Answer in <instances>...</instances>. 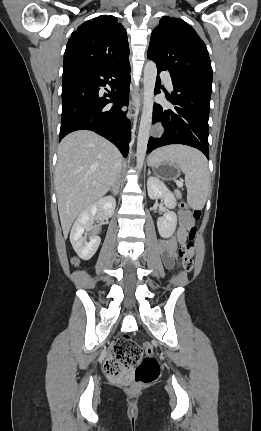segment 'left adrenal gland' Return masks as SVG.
<instances>
[{"label": "left adrenal gland", "instance_id": "left-adrenal-gland-1", "mask_svg": "<svg viewBox=\"0 0 261 431\" xmlns=\"http://www.w3.org/2000/svg\"><path fill=\"white\" fill-rule=\"evenodd\" d=\"M150 173H151V172L149 171V172H148V175H150Z\"/></svg>", "mask_w": 261, "mask_h": 431}]
</instances>
